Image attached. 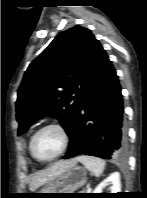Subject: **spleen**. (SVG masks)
<instances>
[{
	"label": "spleen",
	"instance_id": "1",
	"mask_svg": "<svg viewBox=\"0 0 147 198\" xmlns=\"http://www.w3.org/2000/svg\"><path fill=\"white\" fill-rule=\"evenodd\" d=\"M77 160L80 161L96 177H99L103 173L106 165L103 159L93 156H80Z\"/></svg>",
	"mask_w": 147,
	"mask_h": 198
}]
</instances>
